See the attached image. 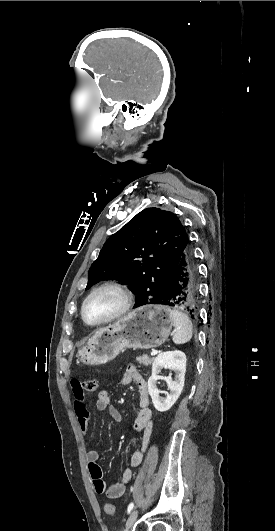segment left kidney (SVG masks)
I'll return each mask as SVG.
<instances>
[{
	"mask_svg": "<svg viewBox=\"0 0 275 531\" xmlns=\"http://www.w3.org/2000/svg\"><path fill=\"white\" fill-rule=\"evenodd\" d=\"M161 369H171L175 371V381H172L171 377H160ZM186 371V355L182 351H166V353H160L154 359L152 365V375L148 379V393L152 399V403L160 413L169 411L172 405L176 403L178 397L182 393L184 387V377ZM163 379L170 389V393H166L167 397H159V389L156 387L157 381Z\"/></svg>",
	"mask_w": 275,
	"mask_h": 531,
	"instance_id": "1",
	"label": "left kidney"
}]
</instances>
